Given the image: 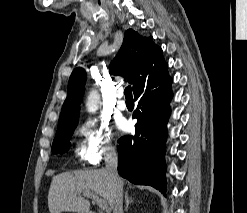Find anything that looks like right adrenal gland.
Wrapping results in <instances>:
<instances>
[{"mask_svg":"<svg viewBox=\"0 0 247 213\" xmlns=\"http://www.w3.org/2000/svg\"><path fill=\"white\" fill-rule=\"evenodd\" d=\"M133 202H134V200L129 197L128 192L126 191L125 192V209L124 210L127 211L129 204L133 203Z\"/></svg>","mask_w":247,"mask_h":213,"instance_id":"obj_1","label":"right adrenal gland"}]
</instances>
